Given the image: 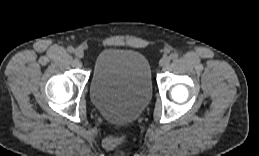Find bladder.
Here are the masks:
<instances>
[{
	"instance_id": "bladder-1",
	"label": "bladder",
	"mask_w": 259,
	"mask_h": 156,
	"mask_svg": "<svg viewBox=\"0 0 259 156\" xmlns=\"http://www.w3.org/2000/svg\"><path fill=\"white\" fill-rule=\"evenodd\" d=\"M90 96L101 115L115 123L137 119L152 96L148 60L139 52L107 48L95 61Z\"/></svg>"
}]
</instances>
